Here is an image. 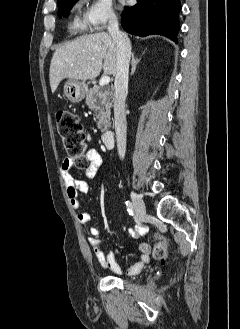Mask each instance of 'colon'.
Masks as SVG:
<instances>
[{
	"label": "colon",
	"mask_w": 240,
	"mask_h": 329,
	"mask_svg": "<svg viewBox=\"0 0 240 329\" xmlns=\"http://www.w3.org/2000/svg\"><path fill=\"white\" fill-rule=\"evenodd\" d=\"M56 118L58 132L67 155L77 166L84 167L88 162L86 158L87 145L80 118L68 110H59ZM155 237L158 239V243L154 247V256L163 260L167 255V240L158 233H155Z\"/></svg>",
	"instance_id": "1"
}]
</instances>
